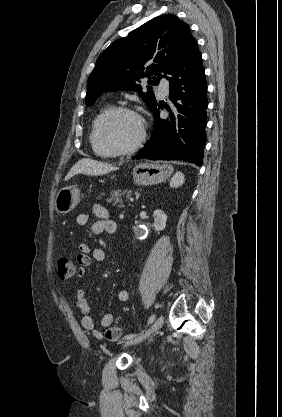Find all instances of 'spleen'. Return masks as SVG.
I'll return each instance as SVG.
<instances>
[{"instance_id":"spleen-1","label":"spleen","mask_w":282,"mask_h":417,"mask_svg":"<svg viewBox=\"0 0 282 417\" xmlns=\"http://www.w3.org/2000/svg\"><path fill=\"white\" fill-rule=\"evenodd\" d=\"M183 180H184L183 172H176V174H174V176H172L170 180V186H174V188H177V186H181Z\"/></svg>"}]
</instances>
